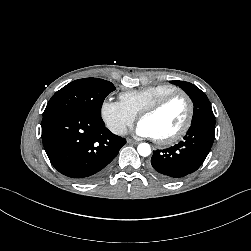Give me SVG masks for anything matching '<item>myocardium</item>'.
<instances>
[{"instance_id":"f54148a6","label":"myocardium","mask_w":251,"mask_h":251,"mask_svg":"<svg viewBox=\"0 0 251 251\" xmlns=\"http://www.w3.org/2000/svg\"><path fill=\"white\" fill-rule=\"evenodd\" d=\"M176 97H182L185 99L188 106L187 116L182 127L176 133L165 138H155L156 142L160 145H170L176 143L177 141L181 140L189 131L194 116V102L190 95L183 90L177 89L176 91L163 96L139 114L138 120L141 121L145 117H149L158 113Z\"/></svg>"}]
</instances>
